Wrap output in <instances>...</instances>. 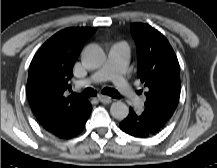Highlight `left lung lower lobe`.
<instances>
[{"label": "left lung lower lobe", "instance_id": "obj_1", "mask_svg": "<svg viewBox=\"0 0 217 168\" xmlns=\"http://www.w3.org/2000/svg\"><path fill=\"white\" fill-rule=\"evenodd\" d=\"M170 119L150 110L142 112L129 111V115L119 126L125 133L134 137H148L161 131Z\"/></svg>", "mask_w": 217, "mask_h": 168}]
</instances>
